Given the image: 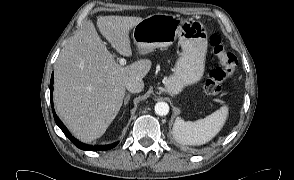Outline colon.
I'll list each match as a JSON object with an SVG mask.
<instances>
[{
  "mask_svg": "<svg viewBox=\"0 0 294 180\" xmlns=\"http://www.w3.org/2000/svg\"><path fill=\"white\" fill-rule=\"evenodd\" d=\"M210 45L219 66L211 71L209 78L205 82L204 89L208 96L215 97L221 92L222 83L234 74L237 59L223 47L218 35L213 34L210 37Z\"/></svg>",
  "mask_w": 294,
  "mask_h": 180,
  "instance_id": "5ec220e1",
  "label": "colon"
}]
</instances>
